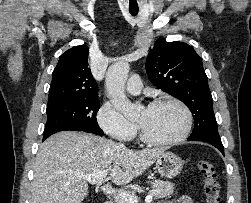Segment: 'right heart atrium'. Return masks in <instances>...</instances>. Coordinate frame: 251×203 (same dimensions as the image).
Masks as SVG:
<instances>
[{
	"label": "right heart atrium",
	"mask_w": 251,
	"mask_h": 203,
	"mask_svg": "<svg viewBox=\"0 0 251 203\" xmlns=\"http://www.w3.org/2000/svg\"><path fill=\"white\" fill-rule=\"evenodd\" d=\"M97 122L100 128L117 141L131 140L137 130L135 124L126 120L110 103L105 102L97 112Z\"/></svg>",
	"instance_id": "obj_1"
}]
</instances>
